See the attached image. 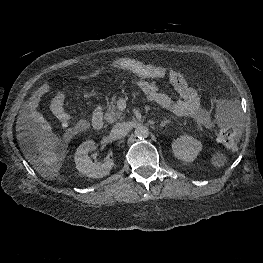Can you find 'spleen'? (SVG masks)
I'll return each instance as SVG.
<instances>
[{
	"mask_svg": "<svg viewBox=\"0 0 263 263\" xmlns=\"http://www.w3.org/2000/svg\"><path fill=\"white\" fill-rule=\"evenodd\" d=\"M227 162V157L221 152H215L211 157V164L215 167H222Z\"/></svg>",
	"mask_w": 263,
	"mask_h": 263,
	"instance_id": "3e777b00",
	"label": "spleen"
}]
</instances>
